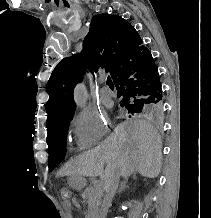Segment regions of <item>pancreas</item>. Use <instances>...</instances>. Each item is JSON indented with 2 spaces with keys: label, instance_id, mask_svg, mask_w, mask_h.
I'll return each instance as SVG.
<instances>
[{
  "label": "pancreas",
  "instance_id": "1",
  "mask_svg": "<svg viewBox=\"0 0 211 218\" xmlns=\"http://www.w3.org/2000/svg\"><path fill=\"white\" fill-rule=\"evenodd\" d=\"M87 189L83 196H85V200H87L86 204L89 206L87 216L91 218V216H95L99 210V206H101L103 188H99V186H88Z\"/></svg>",
  "mask_w": 211,
  "mask_h": 218
}]
</instances>
